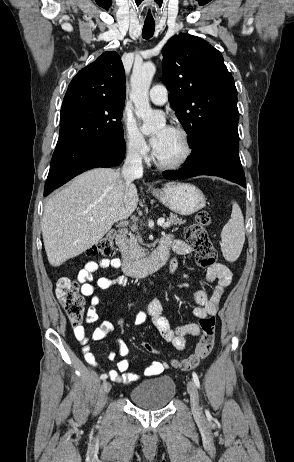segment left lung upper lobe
Returning <instances> with one entry per match:
<instances>
[{
	"mask_svg": "<svg viewBox=\"0 0 294 462\" xmlns=\"http://www.w3.org/2000/svg\"><path fill=\"white\" fill-rule=\"evenodd\" d=\"M162 54V81L191 147L216 123L238 113L234 79L222 54L197 36L172 37Z\"/></svg>",
	"mask_w": 294,
	"mask_h": 462,
	"instance_id": "1",
	"label": "left lung upper lobe"
}]
</instances>
